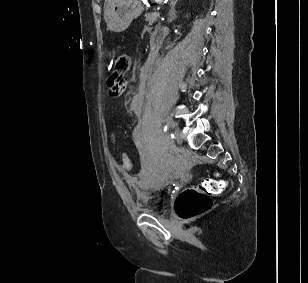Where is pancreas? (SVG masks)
I'll use <instances>...</instances> for the list:
<instances>
[{"instance_id":"pancreas-1","label":"pancreas","mask_w":308,"mask_h":283,"mask_svg":"<svg viewBox=\"0 0 308 283\" xmlns=\"http://www.w3.org/2000/svg\"><path fill=\"white\" fill-rule=\"evenodd\" d=\"M158 20L155 13H147L145 14V21L148 22L149 25H152Z\"/></svg>"}]
</instances>
